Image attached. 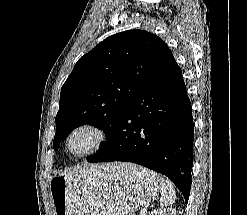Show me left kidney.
<instances>
[{
  "label": "left kidney",
  "mask_w": 247,
  "mask_h": 215,
  "mask_svg": "<svg viewBox=\"0 0 247 215\" xmlns=\"http://www.w3.org/2000/svg\"><path fill=\"white\" fill-rule=\"evenodd\" d=\"M149 215H176L175 208H161L159 210H153Z\"/></svg>",
  "instance_id": "obj_1"
}]
</instances>
